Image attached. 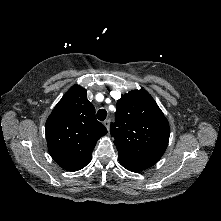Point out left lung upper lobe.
Listing matches in <instances>:
<instances>
[{
	"mask_svg": "<svg viewBox=\"0 0 221 221\" xmlns=\"http://www.w3.org/2000/svg\"><path fill=\"white\" fill-rule=\"evenodd\" d=\"M110 132L119 161L145 170L164 154L170 127L152 96L144 90H134L117 101L116 121L111 123Z\"/></svg>",
	"mask_w": 221,
	"mask_h": 221,
	"instance_id": "1",
	"label": "left lung upper lobe"
}]
</instances>
